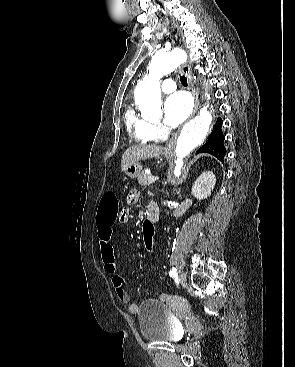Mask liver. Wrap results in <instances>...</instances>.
I'll list each match as a JSON object with an SVG mask.
<instances>
[{
    "label": "liver",
    "instance_id": "obj_1",
    "mask_svg": "<svg viewBox=\"0 0 295 367\" xmlns=\"http://www.w3.org/2000/svg\"><path fill=\"white\" fill-rule=\"evenodd\" d=\"M163 147L158 145L140 144L130 146L122 155L121 170L125 171L128 166L140 160L157 158L162 153Z\"/></svg>",
    "mask_w": 295,
    "mask_h": 367
}]
</instances>
